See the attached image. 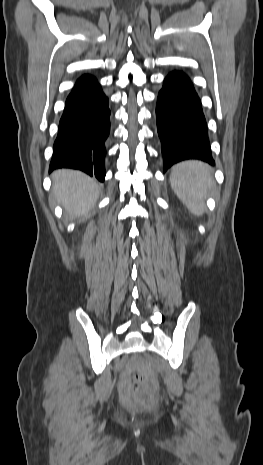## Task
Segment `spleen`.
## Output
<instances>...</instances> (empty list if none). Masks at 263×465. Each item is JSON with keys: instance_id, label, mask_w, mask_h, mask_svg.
<instances>
[{"instance_id": "spleen-1", "label": "spleen", "mask_w": 263, "mask_h": 465, "mask_svg": "<svg viewBox=\"0 0 263 465\" xmlns=\"http://www.w3.org/2000/svg\"><path fill=\"white\" fill-rule=\"evenodd\" d=\"M171 187L191 213L200 216L204 212V196L213 184L209 167L203 162L191 160L178 163L172 168Z\"/></svg>"}]
</instances>
